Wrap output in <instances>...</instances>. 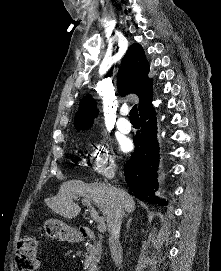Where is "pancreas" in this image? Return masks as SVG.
<instances>
[{"mask_svg":"<svg viewBox=\"0 0 221 271\" xmlns=\"http://www.w3.org/2000/svg\"><path fill=\"white\" fill-rule=\"evenodd\" d=\"M79 245H87L84 267H86L87 271H91L92 267L98 265L101 253H103V245L102 243H88V240H79Z\"/></svg>","mask_w":221,"mask_h":271,"instance_id":"pancreas-1","label":"pancreas"}]
</instances>
